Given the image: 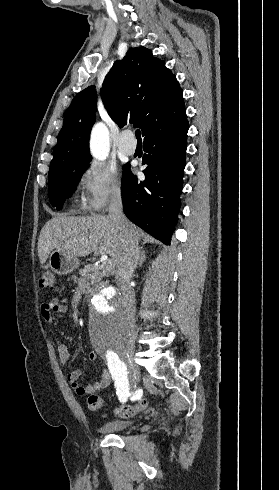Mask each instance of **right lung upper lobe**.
<instances>
[{"label":"right lung upper lobe","mask_w":279,"mask_h":490,"mask_svg":"<svg viewBox=\"0 0 279 490\" xmlns=\"http://www.w3.org/2000/svg\"><path fill=\"white\" fill-rule=\"evenodd\" d=\"M111 118L123 127L141 128L144 139L186 121L182 90L176 76L145 47L131 48L115 62L101 89ZM95 87L78 93L64 117L50 164L49 176L91 160L88 140L95 122Z\"/></svg>","instance_id":"cb5924a9"}]
</instances>
